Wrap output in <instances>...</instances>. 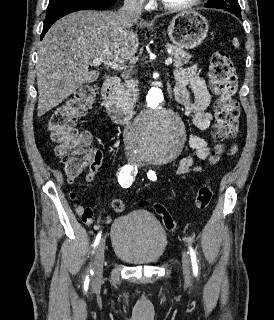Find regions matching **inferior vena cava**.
Segmentation results:
<instances>
[{
    "instance_id": "obj_1",
    "label": "inferior vena cava",
    "mask_w": 274,
    "mask_h": 320,
    "mask_svg": "<svg viewBox=\"0 0 274 320\" xmlns=\"http://www.w3.org/2000/svg\"><path fill=\"white\" fill-rule=\"evenodd\" d=\"M143 2L144 0H124V6L120 8L118 14L121 18V26H124L126 32H130L136 18H141Z\"/></svg>"
}]
</instances>
